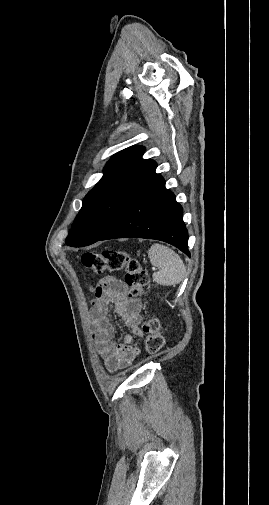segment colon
I'll return each instance as SVG.
<instances>
[{
	"label": "colon",
	"mask_w": 269,
	"mask_h": 505,
	"mask_svg": "<svg viewBox=\"0 0 269 505\" xmlns=\"http://www.w3.org/2000/svg\"><path fill=\"white\" fill-rule=\"evenodd\" d=\"M82 264L93 271L92 278L100 281L104 271L124 270V281L129 287L130 297H140L145 293L150 278L141 263L127 252L106 249L101 252H87L81 256ZM146 334L145 351L149 355L160 352L165 346V336L161 332L160 322L156 318L146 320L142 324Z\"/></svg>",
	"instance_id": "5ec220e1"
}]
</instances>
